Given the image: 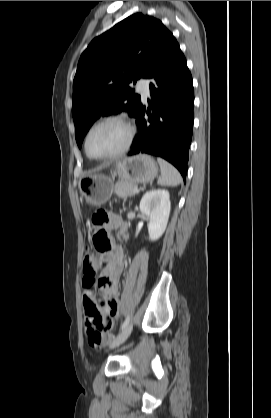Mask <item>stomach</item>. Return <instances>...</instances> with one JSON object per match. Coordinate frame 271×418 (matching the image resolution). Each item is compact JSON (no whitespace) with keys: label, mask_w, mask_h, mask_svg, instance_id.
I'll list each match as a JSON object with an SVG mask.
<instances>
[{"label":"stomach","mask_w":271,"mask_h":418,"mask_svg":"<svg viewBox=\"0 0 271 418\" xmlns=\"http://www.w3.org/2000/svg\"><path fill=\"white\" fill-rule=\"evenodd\" d=\"M115 170L121 180L134 184L149 183L158 174V166L155 160L145 154L118 161L115 165ZM79 189L82 197L88 204L100 206L112 195L113 182L105 175L91 174L80 180Z\"/></svg>","instance_id":"1"}]
</instances>
